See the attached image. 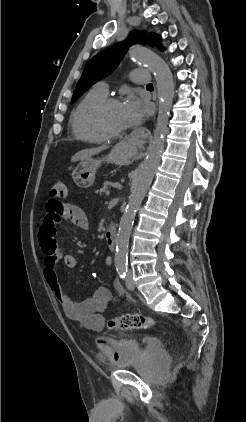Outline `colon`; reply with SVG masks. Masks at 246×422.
<instances>
[{"instance_id":"obj_1","label":"colon","mask_w":246,"mask_h":422,"mask_svg":"<svg viewBox=\"0 0 246 422\" xmlns=\"http://www.w3.org/2000/svg\"><path fill=\"white\" fill-rule=\"evenodd\" d=\"M67 196L66 182L59 178L54 181L48 191L49 204L55 208L61 205L60 200ZM109 327L117 330L149 329L156 325L155 321L140 314H124L111 319ZM104 341H101V343Z\"/></svg>"}]
</instances>
